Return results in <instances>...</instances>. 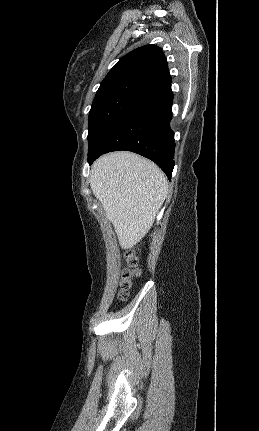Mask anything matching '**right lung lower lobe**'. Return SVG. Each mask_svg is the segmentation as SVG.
Masks as SVG:
<instances>
[{"label":"right lung lower lobe","mask_w":259,"mask_h":431,"mask_svg":"<svg viewBox=\"0 0 259 431\" xmlns=\"http://www.w3.org/2000/svg\"><path fill=\"white\" fill-rule=\"evenodd\" d=\"M171 83L150 91L130 106L103 134L91 151V165L104 153L128 150L154 161L171 179L174 167V132Z\"/></svg>","instance_id":"98d812e1"}]
</instances>
